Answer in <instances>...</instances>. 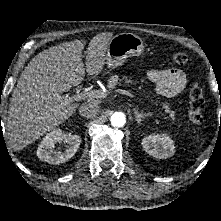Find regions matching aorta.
Listing matches in <instances>:
<instances>
[{"label":"aorta","instance_id":"762f6f07","mask_svg":"<svg viewBox=\"0 0 221 221\" xmlns=\"http://www.w3.org/2000/svg\"><path fill=\"white\" fill-rule=\"evenodd\" d=\"M110 121L113 127H123L126 123L125 114L123 112H115L114 114H112Z\"/></svg>","mask_w":221,"mask_h":221}]
</instances>
